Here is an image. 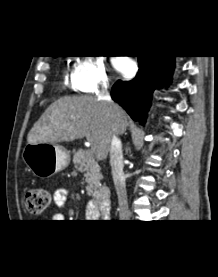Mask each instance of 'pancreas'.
Instances as JSON below:
<instances>
[{"instance_id": "pancreas-1", "label": "pancreas", "mask_w": 218, "mask_h": 277, "mask_svg": "<svg viewBox=\"0 0 218 277\" xmlns=\"http://www.w3.org/2000/svg\"><path fill=\"white\" fill-rule=\"evenodd\" d=\"M73 163L77 170H81V172H84L85 182L87 183V194H95V192L101 185L100 181L102 175L100 172V167L96 162L93 153L80 149L74 154Z\"/></svg>"}]
</instances>
